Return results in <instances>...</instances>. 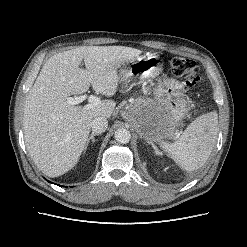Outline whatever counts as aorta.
I'll return each instance as SVG.
<instances>
[{
  "label": "aorta",
  "instance_id": "762f6f07",
  "mask_svg": "<svg viewBox=\"0 0 247 247\" xmlns=\"http://www.w3.org/2000/svg\"><path fill=\"white\" fill-rule=\"evenodd\" d=\"M115 139L121 144H127L131 139V133L125 128H119L115 131Z\"/></svg>",
  "mask_w": 247,
  "mask_h": 247
}]
</instances>
